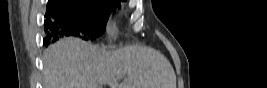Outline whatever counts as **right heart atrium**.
Here are the masks:
<instances>
[{"label":"right heart atrium","mask_w":267,"mask_h":88,"mask_svg":"<svg viewBox=\"0 0 267 88\" xmlns=\"http://www.w3.org/2000/svg\"><path fill=\"white\" fill-rule=\"evenodd\" d=\"M108 32H109V34H110L111 36L114 35V29H113L112 25H109V26H108Z\"/></svg>","instance_id":"1"}]
</instances>
